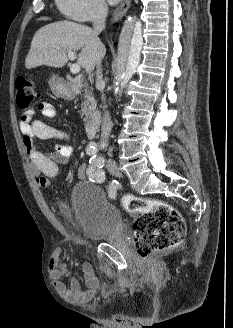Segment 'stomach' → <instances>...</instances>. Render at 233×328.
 Here are the masks:
<instances>
[{
	"label": "stomach",
	"mask_w": 233,
	"mask_h": 328,
	"mask_svg": "<svg viewBox=\"0 0 233 328\" xmlns=\"http://www.w3.org/2000/svg\"><path fill=\"white\" fill-rule=\"evenodd\" d=\"M51 89L52 92L58 97L64 99H71L73 97L72 92L69 89H67L62 83L59 82L51 83Z\"/></svg>",
	"instance_id": "stomach-1"
}]
</instances>
